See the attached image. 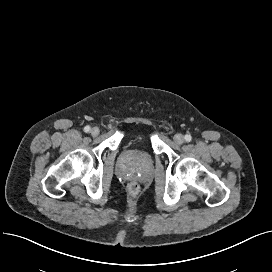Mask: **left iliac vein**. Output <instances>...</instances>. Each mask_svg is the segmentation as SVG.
<instances>
[{
  "label": "left iliac vein",
  "mask_w": 272,
  "mask_h": 272,
  "mask_svg": "<svg viewBox=\"0 0 272 272\" xmlns=\"http://www.w3.org/2000/svg\"><path fill=\"white\" fill-rule=\"evenodd\" d=\"M173 139L174 142L179 145L184 142V136L182 134H176Z\"/></svg>",
  "instance_id": "4c4485c4"
}]
</instances>
